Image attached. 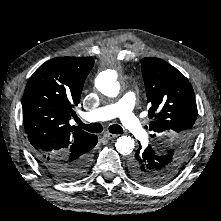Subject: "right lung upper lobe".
<instances>
[{"instance_id":"cb5924a9","label":"right lung upper lobe","mask_w":221,"mask_h":221,"mask_svg":"<svg viewBox=\"0 0 221 221\" xmlns=\"http://www.w3.org/2000/svg\"><path fill=\"white\" fill-rule=\"evenodd\" d=\"M93 63V58L56 57L28 80L23 122L35 155L66 160L70 153H85L90 148L95 135L72 127L69 120Z\"/></svg>"}]
</instances>
